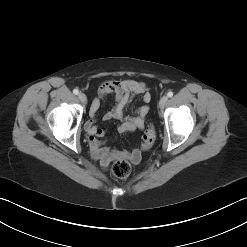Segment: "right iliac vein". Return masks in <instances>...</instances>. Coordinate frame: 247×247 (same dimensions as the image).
I'll return each mask as SVG.
<instances>
[{
	"label": "right iliac vein",
	"mask_w": 247,
	"mask_h": 247,
	"mask_svg": "<svg viewBox=\"0 0 247 247\" xmlns=\"http://www.w3.org/2000/svg\"><path fill=\"white\" fill-rule=\"evenodd\" d=\"M78 98H79V100H80L83 104H86V102H87V97H86V95H85L84 93H79V94H78Z\"/></svg>",
	"instance_id": "1"
}]
</instances>
